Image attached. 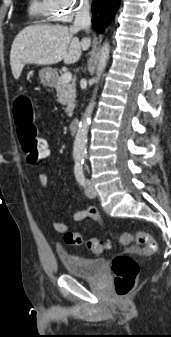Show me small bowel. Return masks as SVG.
<instances>
[{
	"label": "small bowel",
	"instance_id": "c3829d8e",
	"mask_svg": "<svg viewBox=\"0 0 171 337\" xmlns=\"http://www.w3.org/2000/svg\"><path fill=\"white\" fill-rule=\"evenodd\" d=\"M48 157V156H47ZM38 180L40 185L42 186L43 189H47L48 188V176L45 173H40L38 175ZM91 219L94 220L96 222H101V217L98 213V211L95 208H88L85 210H79L76 211L73 216H72V221L74 223L80 222L84 219ZM52 227L56 232L59 233H65L68 232L70 229V225L66 224V223H62L60 221L54 220L52 222Z\"/></svg>",
	"mask_w": 171,
	"mask_h": 337
}]
</instances>
